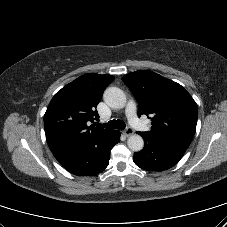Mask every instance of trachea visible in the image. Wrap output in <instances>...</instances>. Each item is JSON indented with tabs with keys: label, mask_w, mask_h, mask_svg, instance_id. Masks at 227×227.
<instances>
[{
	"label": "trachea",
	"mask_w": 227,
	"mask_h": 227,
	"mask_svg": "<svg viewBox=\"0 0 227 227\" xmlns=\"http://www.w3.org/2000/svg\"><path fill=\"white\" fill-rule=\"evenodd\" d=\"M98 126H103L108 129H118L123 130L126 127V124L121 120H110L107 124H98Z\"/></svg>",
	"instance_id": "1"
}]
</instances>
